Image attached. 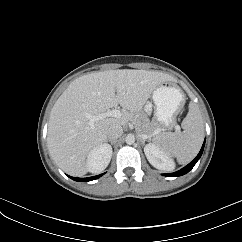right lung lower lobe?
Here are the masks:
<instances>
[{
	"label": "right lung lower lobe",
	"mask_w": 242,
	"mask_h": 242,
	"mask_svg": "<svg viewBox=\"0 0 242 242\" xmlns=\"http://www.w3.org/2000/svg\"><path fill=\"white\" fill-rule=\"evenodd\" d=\"M102 175L103 174L93 176V177H88V178H75V177H70V178L75 180V181H79V182H87V181L95 180V179L101 177Z\"/></svg>",
	"instance_id": "obj_1"
}]
</instances>
